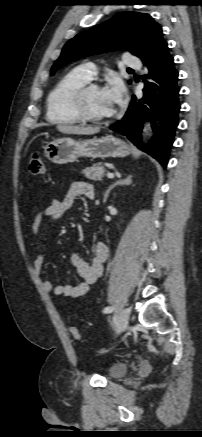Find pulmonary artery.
Segmentation results:
<instances>
[{
    "mask_svg": "<svg viewBox=\"0 0 202 437\" xmlns=\"http://www.w3.org/2000/svg\"><path fill=\"white\" fill-rule=\"evenodd\" d=\"M124 64L125 66L131 68V69H138L141 66V62L138 58L134 57V56H126L124 59ZM80 69L84 72V74L88 77V78H92L95 73V67L93 64L91 63H87L84 64L80 67Z\"/></svg>",
    "mask_w": 202,
    "mask_h": 437,
    "instance_id": "1",
    "label": "pulmonary artery"
}]
</instances>
